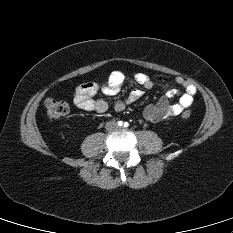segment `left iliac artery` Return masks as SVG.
<instances>
[{
	"label": "left iliac artery",
	"mask_w": 233,
	"mask_h": 233,
	"mask_svg": "<svg viewBox=\"0 0 233 233\" xmlns=\"http://www.w3.org/2000/svg\"><path fill=\"white\" fill-rule=\"evenodd\" d=\"M128 125H129L128 122H125V123H124V126H125V127H128Z\"/></svg>",
	"instance_id": "left-iliac-artery-1"
}]
</instances>
